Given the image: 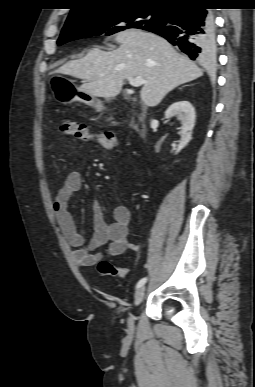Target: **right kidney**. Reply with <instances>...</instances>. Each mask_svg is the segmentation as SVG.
Returning <instances> with one entry per match:
<instances>
[{
    "instance_id": "1",
    "label": "right kidney",
    "mask_w": 255,
    "mask_h": 387,
    "mask_svg": "<svg viewBox=\"0 0 255 387\" xmlns=\"http://www.w3.org/2000/svg\"><path fill=\"white\" fill-rule=\"evenodd\" d=\"M176 116L181 121V139L175 153L180 152L191 140L192 129L195 125V110L188 101L173 103L165 112L167 119Z\"/></svg>"
}]
</instances>
